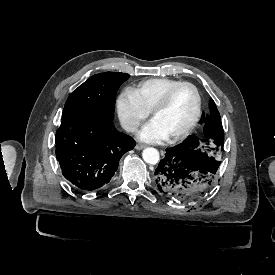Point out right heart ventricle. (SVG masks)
Returning a JSON list of instances; mask_svg holds the SVG:
<instances>
[{"instance_id": "1", "label": "right heart ventricle", "mask_w": 275, "mask_h": 275, "mask_svg": "<svg viewBox=\"0 0 275 275\" xmlns=\"http://www.w3.org/2000/svg\"><path fill=\"white\" fill-rule=\"evenodd\" d=\"M176 82L178 81L166 77L150 78L138 83L134 92L142 104L152 111L167 88Z\"/></svg>"}]
</instances>
